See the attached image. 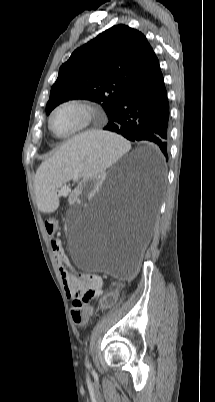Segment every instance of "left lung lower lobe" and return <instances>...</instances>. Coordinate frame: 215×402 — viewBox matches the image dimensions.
Here are the masks:
<instances>
[{
	"label": "left lung lower lobe",
	"mask_w": 215,
	"mask_h": 402,
	"mask_svg": "<svg viewBox=\"0 0 215 402\" xmlns=\"http://www.w3.org/2000/svg\"><path fill=\"white\" fill-rule=\"evenodd\" d=\"M168 121L167 92L157 61L131 86L103 129L130 141L149 142L168 159ZM147 190L153 198L157 186L149 181Z\"/></svg>",
	"instance_id": "obj_1"
}]
</instances>
